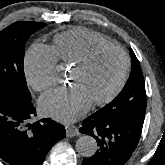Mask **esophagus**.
I'll use <instances>...</instances> for the list:
<instances>
[{
  "label": "esophagus",
  "mask_w": 165,
  "mask_h": 165,
  "mask_svg": "<svg viewBox=\"0 0 165 165\" xmlns=\"http://www.w3.org/2000/svg\"><path fill=\"white\" fill-rule=\"evenodd\" d=\"M66 136L67 137H74L79 135V130L76 126L74 125H66Z\"/></svg>",
  "instance_id": "obj_1"
}]
</instances>
